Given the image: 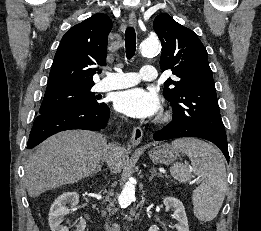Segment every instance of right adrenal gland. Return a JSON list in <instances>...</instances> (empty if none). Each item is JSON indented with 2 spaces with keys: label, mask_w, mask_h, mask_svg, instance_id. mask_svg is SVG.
Here are the masks:
<instances>
[{
  "label": "right adrenal gland",
  "mask_w": 261,
  "mask_h": 231,
  "mask_svg": "<svg viewBox=\"0 0 261 231\" xmlns=\"http://www.w3.org/2000/svg\"><path fill=\"white\" fill-rule=\"evenodd\" d=\"M102 165H103V161L98 165L97 170H95L91 175L94 176L98 172L101 173L102 172Z\"/></svg>",
  "instance_id": "right-adrenal-gland-1"
}]
</instances>
